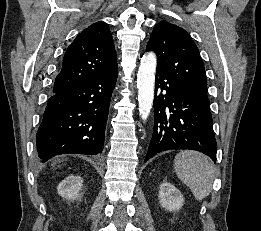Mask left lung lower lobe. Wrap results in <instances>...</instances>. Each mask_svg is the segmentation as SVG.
Masks as SVG:
<instances>
[{
    "instance_id": "obj_1",
    "label": "left lung lower lobe",
    "mask_w": 261,
    "mask_h": 231,
    "mask_svg": "<svg viewBox=\"0 0 261 231\" xmlns=\"http://www.w3.org/2000/svg\"><path fill=\"white\" fill-rule=\"evenodd\" d=\"M154 118L145 162L157 153L173 149L200 151L216 160L209 102L190 96L176 81L159 70L155 77Z\"/></svg>"
}]
</instances>
